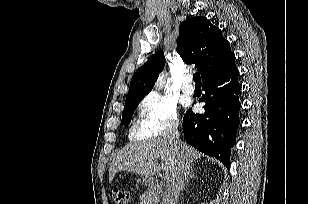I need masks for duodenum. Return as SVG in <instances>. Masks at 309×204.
Instances as JSON below:
<instances>
[{
    "mask_svg": "<svg viewBox=\"0 0 309 204\" xmlns=\"http://www.w3.org/2000/svg\"><path fill=\"white\" fill-rule=\"evenodd\" d=\"M148 185L151 187V189L153 190V194L156 196H160L162 194V188H161V184L157 179L154 178H150L148 180Z\"/></svg>",
    "mask_w": 309,
    "mask_h": 204,
    "instance_id": "410a0bca",
    "label": "duodenum"
}]
</instances>
